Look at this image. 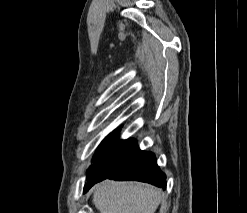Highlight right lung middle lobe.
<instances>
[{
	"label": "right lung middle lobe",
	"instance_id": "1",
	"mask_svg": "<svg viewBox=\"0 0 247 213\" xmlns=\"http://www.w3.org/2000/svg\"><path fill=\"white\" fill-rule=\"evenodd\" d=\"M118 135V131H114L110 135H108L101 143L100 147L98 148L96 154L92 159L93 165L89 167V170L87 172L86 180L88 182L98 175V166L100 162L114 149L116 143L118 142Z\"/></svg>",
	"mask_w": 247,
	"mask_h": 213
}]
</instances>
